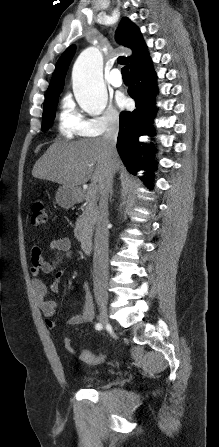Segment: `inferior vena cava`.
I'll use <instances>...</instances> for the list:
<instances>
[{"label": "inferior vena cava", "mask_w": 219, "mask_h": 447, "mask_svg": "<svg viewBox=\"0 0 219 447\" xmlns=\"http://www.w3.org/2000/svg\"><path fill=\"white\" fill-rule=\"evenodd\" d=\"M119 124L117 120L109 121L103 136L105 152L109 160V168L105 179L100 184L99 214L96 222L95 248H94V293L97 298L105 295L108 279V198L112 188L114 174V158L117 154L116 142Z\"/></svg>", "instance_id": "inferior-vena-cava-1"}]
</instances>
